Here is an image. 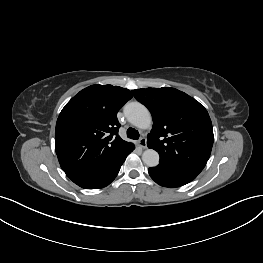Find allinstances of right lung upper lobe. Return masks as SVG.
Instances as JSON below:
<instances>
[{"label":"right lung upper lobe","instance_id":"cb5924a9","mask_svg":"<svg viewBox=\"0 0 263 263\" xmlns=\"http://www.w3.org/2000/svg\"><path fill=\"white\" fill-rule=\"evenodd\" d=\"M132 98L119 86L92 85L62 109L56 123L55 150L71 179L104 168L134 145L120 138L117 112Z\"/></svg>","mask_w":263,"mask_h":263}]
</instances>
